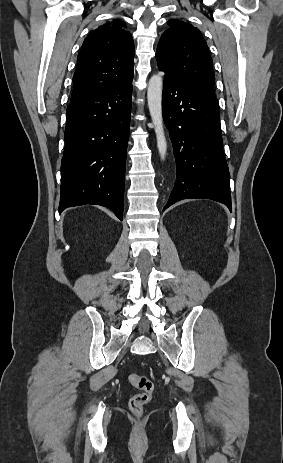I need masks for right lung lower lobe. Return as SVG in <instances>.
<instances>
[{
	"label": "right lung lower lobe",
	"instance_id": "obj_1",
	"mask_svg": "<svg viewBox=\"0 0 283 463\" xmlns=\"http://www.w3.org/2000/svg\"><path fill=\"white\" fill-rule=\"evenodd\" d=\"M131 95L132 80L67 107L59 213L95 204L122 220Z\"/></svg>",
	"mask_w": 283,
	"mask_h": 463
}]
</instances>
